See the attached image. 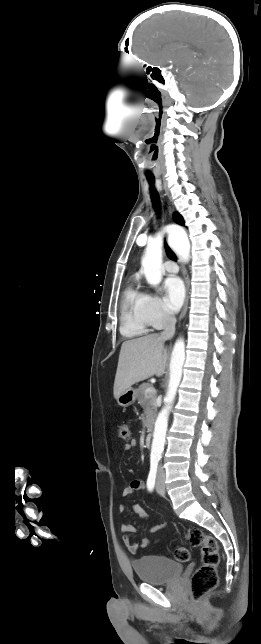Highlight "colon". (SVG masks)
<instances>
[{
	"label": "colon",
	"instance_id": "colon-1",
	"mask_svg": "<svg viewBox=\"0 0 261 644\" xmlns=\"http://www.w3.org/2000/svg\"><path fill=\"white\" fill-rule=\"evenodd\" d=\"M118 434L122 440H129L131 437L129 425L121 423ZM186 539L192 546L201 547L202 562L193 573L190 581L191 599L197 603L217 586V568L220 561L219 546L214 537L206 535L199 528L189 529ZM175 557L180 562H187L190 559V551L184 546L178 547L175 551Z\"/></svg>",
	"mask_w": 261,
	"mask_h": 644
}]
</instances>
